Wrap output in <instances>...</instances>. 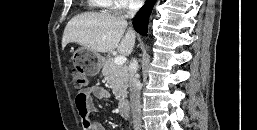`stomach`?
Returning a JSON list of instances; mask_svg holds the SVG:
<instances>
[{
	"label": "stomach",
	"mask_w": 257,
	"mask_h": 130,
	"mask_svg": "<svg viewBox=\"0 0 257 130\" xmlns=\"http://www.w3.org/2000/svg\"><path fill=\"white\" fill-rule=\"evenodd\" d=\"M74 60L81 64L83 73L89 76L98 74L105 61L99 53L85 47L76 50Z\"/></svg>",
	"instance_id": "0dacf381"
}]
</instances>
